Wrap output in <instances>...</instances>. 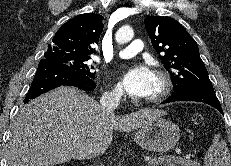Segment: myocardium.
Here are the masks:
<instances>
[{"instance_id":"1","label":"myocardium","mask_w":231,"mask_h":166,"mask_svg":"<svg viewBox=\"0 0 231 166\" xmlns=\"http://www.w3.org/2000/svg\"><path fill=\"white\" fill-rule=\"evenodd\" d=\"M155 77L158 82V88L153 95L148 96L145 99V101L148 103H157L162 101L165 97L168 96L171 90L172 83L170 76L164 70H156Z\"/></svg>"}]
</instances>
